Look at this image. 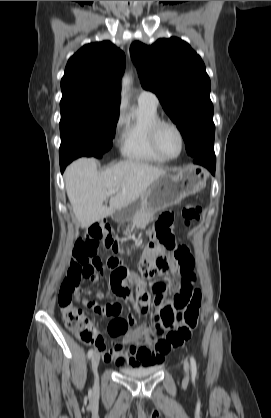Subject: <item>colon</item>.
I'll return each mask as SVG.
<instances>
[{
    "mask_svg": "<svg viewBox=\"0 0 271 418\" xmlns=\"http://www.w3.org/2000/svg\"><path fill=\"white\" fill-rule=\"evenodd\" d=\"M201 209L196 205H187L182 210L184 223L190 225L200 218ZM173 216L164 213L154 226L151 236L153 245L160 252L163 248L174 251V259L179 266L182 276V292L174 298V309L166 308L162 314V324L156 333L162 337L157 347L161 350L177 348L191 337L192 331L198 323L202 294L199 289H193L189 283L194 281V258L185 246L175 247L174 236L171 231ZM117 251L119 246L114 240L109 224L97 222L88 227L85 234L79 238L72 251V257L66 276L64 277L58 294V305L64 324L73 331L83 342L95 344L97 347L103 342L101 335L93 322L83 311L73 304L78 296V286L83 279L91 280L100 266L96 257L100 244ZM111 269L113 261L109 262ZM125 334V333H124Z\"/></svg>",
    "mask_w": 271,
    "mask_h": 418,
    "instance_id": "5ec220e1",
    "label": "colon"
}]
</instances>
